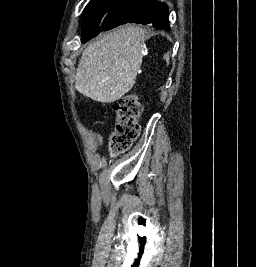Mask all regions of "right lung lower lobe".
Masks as SVG:
<instances>
[{"label": "right lung lower lobe", "mask_w": 256, "mask_h": 267, "mask_svg": "<svg viewBox=\"0 0 256 267\" xmlns=\"http://www.w3.org/2000/svg\"><path fill=\"white\" fill-rule=\"evenodd\" d=\"M125 23L149 24L156 29L170 30L168 6L156 0H142L112 25L110 29Z\"/></svg>", "instance_id": "1"}]
</instances>
